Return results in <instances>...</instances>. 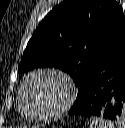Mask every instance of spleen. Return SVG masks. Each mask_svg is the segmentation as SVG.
<instances>
[{"mask_svg": "<svg viewBox=\"0 0 125 128\" xmlns=\"http://www.w3.org/2000/svg\"><path fill=\"white\" fill-rule=\"evenodd\" d=\"M90 128H113V125H111L102 118L91 117Z\"/></svg>", "mask_w": 125, "mask_h": 128, "instance_id": "obj_1", "label": "spleen"}]
</instances>
